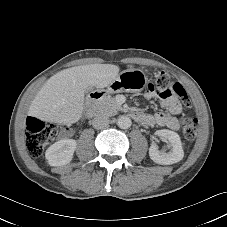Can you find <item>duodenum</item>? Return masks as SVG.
<instances>
[{
	"label": "duodenum",
	"mask_w": 227,
	"mask_h": 227,
	"mask_svg": "<svg viewBox=\"0 0 227 227\" xmlns=\"http://www.w3.org/2000/svg\"><path fill=\"white\" fill-rule=\"evenodd\" d=\"M104 96V91H95L89 95L85 103V113L88 116H93L96 111L98 101ZM129 116L138 123L144 120V115L138 111H131Z\"/></svg>",
	"instance_id": "obj_1"
}]
</instances>
